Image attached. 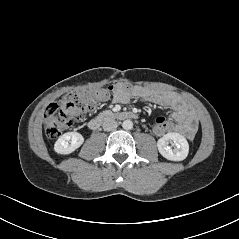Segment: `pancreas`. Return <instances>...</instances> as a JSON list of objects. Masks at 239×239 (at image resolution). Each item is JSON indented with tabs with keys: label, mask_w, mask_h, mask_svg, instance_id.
I'll return each mask as SVG.
<instances>
[{
	"label": "pancreas",
	"mask_w": 239,
	"mask_h": 239,
	"mask_svg": "<svg viewBox=\"0 0 239 239\" xmlns=\"http://www.w3.org/2000/svg\"><path fill=\"white\" fill-rule=\"evenodd\" d=\"M105 113H111V111H104L102 114H105Z\"/></svg>",
	"instance_id": "pancreas-1"
}]
</instances>
